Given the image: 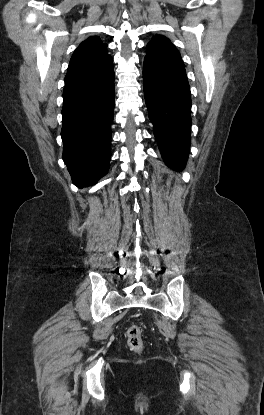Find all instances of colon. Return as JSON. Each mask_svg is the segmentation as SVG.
<instances>
[{
  "mask_svg": "<svg viewBox=\"0 0 264 415\" xmlns=\"http://www.w3.org/2000/svg\"><path fill=\"white\" fill-rule=\"evenodd\" d=\"M127 339L130 348L139 351L142 348V332L140 327L132 324L127 330Z\"/></svg>",
  "mask_w": 264,
  "mask_h": 415,
  "instance_id": "colon-1",
  "label": "colon"
}]
</instances>
